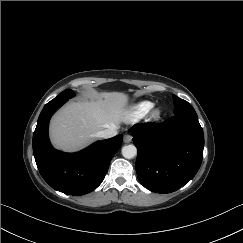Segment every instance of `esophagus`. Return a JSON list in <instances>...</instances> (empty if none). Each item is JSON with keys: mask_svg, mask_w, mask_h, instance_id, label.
Returning <instances> with one entry per match:
<instances>
[{"mask_svg": "<svg viewBox=\"0 0 243 243\" xmlns=\"http://www.w3.org/2000/svg\"><path fill=\"white\" fill-rule=\"evenodd\" d=\"M123 141H124L125 143H130V142L132 141V136H131L130 134H125V135L123 136Z\"/></svg>", "mask_w": 243, "mask_h": 243, "instance_id": "1", "label": "esophagus"}]
</instances>
